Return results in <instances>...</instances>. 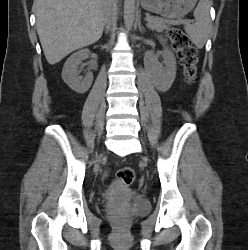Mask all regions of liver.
I'll return each instance as SVG.
<instances>
[{
  "mask_svg": "<svg viewBox=\"0 0 248 250\" xmlns=\"http://www.w3.org/2000/svg\"><path fill=\"white\" fill-rule=\"evenodd\" d=\"M105 1H34L37 33L49 64L54 65L71 52L100 39Z\"/></svg>",
  "mask_w": 248,
  "mask_h": 250,
  "instance_id": "6515ba94",
  "label": "liver"
}]
</instances>
